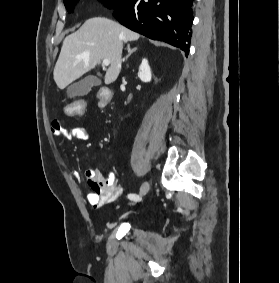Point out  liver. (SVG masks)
Segmentation results:
<instances>
[{"instance_id": "liver-1", "label": "liver", "mask_w": 280, "mask_h": 283, "mask_svg": "<svg viewBox=\"0 0 280 283\" xmlns=\"http://www.w3.org/2000/svg\"><path fill=\"white\" fill-rule=\"evenodd\" d=\"M139 37L138 33L107 18L86 20L79 30L63 41L53 72L57 86L64 89L104 59L110 61L104 82L107 85L113 83L121 70L123 43L136 41Z\"/></svg>"}]
</instances>
